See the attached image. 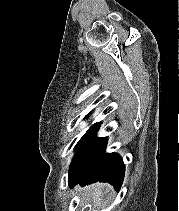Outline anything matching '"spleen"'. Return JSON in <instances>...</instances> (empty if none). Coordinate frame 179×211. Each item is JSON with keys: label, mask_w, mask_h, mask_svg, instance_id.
I'll use <instances>...</instances> for the list:
<instances>
[{"label": "spleen", "mask_w": 179, "mask_h": 211, "mask_svg": "<svg viewBox=\"0 0 179 211\" xmlns=\"http://www.w3.org/2000/svg\"><path fill=\"white\" fill-rule=\"evenodd\" d=\"M88 201L92 202L95 207L102 206V196L104 195V188L100 184H96L88 188Z\"/></svg>", "instance_id": "spleen-1"}]
</instances>
